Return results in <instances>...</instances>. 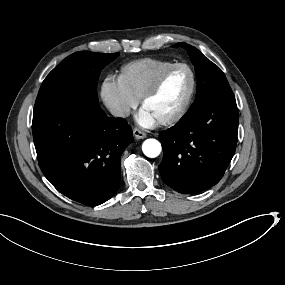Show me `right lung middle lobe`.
<instances>
[{
  "label": "right lung middle lobe",
  "mask_w": 285,
  "mask_h": 285,
  "mask_svg": "<svg viewBox=\"0 0 285 285\" xmlns=\"http://www.w3.org/2000/svg\"><path fill=\"white\" fill-rule=\"evenodd\" d=\"M119 54L76 52L65 58L45 78L34 109L59 98L77 97L98 103L97 81L101 70Z\"/></svg>",
  "instance_id": "1"
}]
</instances>
